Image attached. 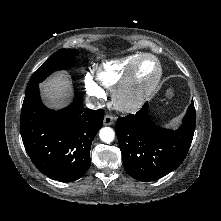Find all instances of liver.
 <instances>
[{
  "label": "liver",
  "instance_id": "obj_1",
  "mask_svg": "<svg viewBox=\"0 0 221 221\" xmlns=\"http://www.w3.org/2000/svg\"><path fill=\"white\" fill-rule=\"evenodd\" d=\"M46 103L58 106L65 103L72 92V84L67 75L58 73L41 85Z\"/></svg>",
  "mask_w": 221,
  "mask_h": 221
}]
</instances>
